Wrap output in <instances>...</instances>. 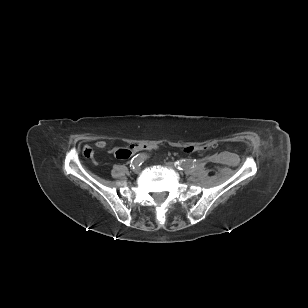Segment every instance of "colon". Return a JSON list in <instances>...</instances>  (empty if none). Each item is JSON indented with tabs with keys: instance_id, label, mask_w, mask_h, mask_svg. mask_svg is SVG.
I'll return each mask as SVG.
<instances>
[{
	"instance_id": "colon-1",
	"label": "colon",
	"mask_w": 308,
	"mask_h": 308,
	"mask_svg": "<svg viewBox=\"0 0 308 308\" xmlns=\"http://www.w3.org/2000/svg\"><path fill=\"white\" fill-rule=\"evenodd\" d=\"M215 147H216V143H208V144L203 145V146H189V147H186L184 149V152L191 154V153H195V152L211 150ZM151 148H152L151 145L148 144V143L145 144V145L139 144V143H136V144L131 143L127 146V148L119 149L116 153V156L118 158H121V159H126L131 155V152H133V151L143 153L145 151H147V152L150 151ZM83 153L86 157H91L92 156V149L89 148V147H85Z\"/></svg>"
}]
</instances>
